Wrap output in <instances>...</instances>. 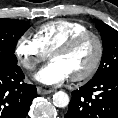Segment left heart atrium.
<instances>
[{"mask_svg":"<svg viewBox=\"0 0 118 118\" xmlns=\"http://www.w3.org/2000/svg\"><path fill=\"white\" fill-rule=\"evenodd\" d=\"M67 70L58 62H51L35 74V79L45 85H59L69 78Z\"/></svg>","mask_w":118,"mask_h":118,"instance_id":"left-heart-atrium-1","label":"left heart atrium"}]
</instances>
